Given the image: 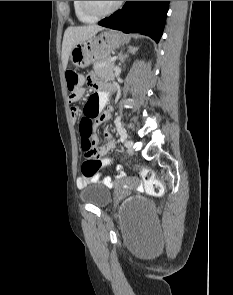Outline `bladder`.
I'll use <instances>...</instances> for the list:
<instances>
[{"label": "bladder", "mask_w": 233, "mask_h": 295, "mask_svg": "<svg viewBox=\"0 0 233 295\" xmlns=\"http://www.w3.org/2000/svg\"><path fill=\"white\" fill-rule=\"evenodd\" d=\"M79 196L84 203L98 208L107 207L112 200L110 191L102 184H91L84 187ZM122 209L126 214L138 212L147 217L148 221L153 220V205L144 198L131 197L124 202Z\"/></svg>", "instance_id": "1"}]
</instances>
